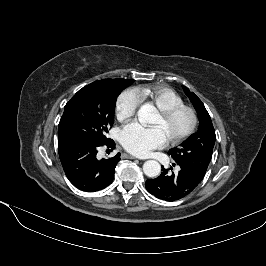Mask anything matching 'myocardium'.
Here are the masks:
<instances>
[{"label":"myocardium","mask_w":266,"mask_h":266,"mask_svg":"<svg viewBox=\"0 0 266 266\" xmlns=\"http://www.w3.org/2000/svg\"><path fill=\"white\" fill-rule=\"evenodd\" d=\"M182 112L188 113L190 117V124L188 128L181 135L177 137L169 138V140L174 144H178V143L185 141L195 132L197 125H198L197 112L193 107L184 105V104L174 106V107L164 109V110H159V115L164 119H171Z\"/></svg>","instance_id":"1"}]
</instances>
